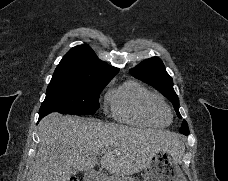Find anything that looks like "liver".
I'll use <instances>...</instances> for the list:
<instances>
[{"instance_id":"obj_1","label":"liver","mask_w":228,"mask_h":181,"mask_svg":"<svg viewBox=\"0 0 228 181\" xmlns=\"http://www.w3.org/2000/svg\"><path fill=\"white\" fill-rule=\"evenodd\" d=\"M39 149L29 181H70L71 167L92 171L98 153L102 169L113 175H135L150 163L158 151H172L179 161L185 145L181 135L158 129H133L126 125L101 123L50 113L39 125Z\"/></svg>"}]
</instances>
